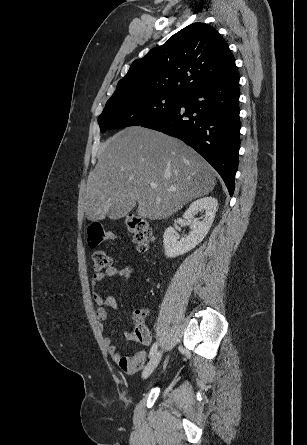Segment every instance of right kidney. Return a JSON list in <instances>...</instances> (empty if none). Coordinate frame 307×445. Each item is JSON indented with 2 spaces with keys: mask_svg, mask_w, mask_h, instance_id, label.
Instances as JSON below:
<instances>
[{
  "mask_svg": "<svg viewBox=\"0 0 307 445\" xmlns=\"http://www.w3.org/2000/svg\"><path fill=\"white\" fill-rule=\"evenodd\" d=\"M195 210H205L203 220L193 218ZM216 210H218V200L214 196H204V198L191 202L189 208L183 214L184 218L190 220L191 231L185 239L178 241L179 237L175 229L173 227L166 229L163 239L166 257H179V255H184L191 249H195L206 237L213 223Z\"/></svg>",
  "mask_w": 307,
  "mask_h": 445,
  "instance_id": "right-kidney-1",
  "label": "right kidney"
}]
</instances>
